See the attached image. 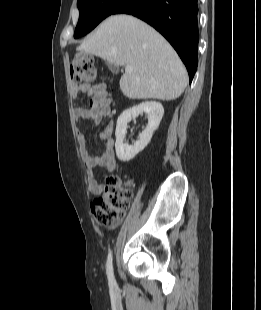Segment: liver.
I'll return each mask as SVG.
<instances>
[{
	"label": "liver",
	"instance_id": "liver-1",
	"mask_svg": "<svg viewBox=\"0 0 261 310\" xmlns=\"http://www.w3.org/2000/svg\"><path fill=\"white\" fill-rule=\"evenodd\" d=\"M77 51L133 68L120 79L129 99L174 100L187 86V71L171 45L155 29L130 15H113Z\"/></svg>",
	"mask_w": 261,
	"mask_h": 310
}]
</instances>
